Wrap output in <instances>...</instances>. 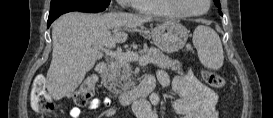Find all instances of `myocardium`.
Returning <instances> with one entry per match:
<instances>
[{"mask_svg": "<svg viewBox=\"0 0 273 118\" xmlns=\"http://www.w3.org/2000/svg\"><path fill=\"white\" fill-rule=\"evenodd\" d=\"M171 4V6L179 12L181 15L186 17H197L201 16L205 13H207L210 9L211 1L210 0H204L206 3V8L203 11H189L185 8L184 4L182 3V0H168Z\"/></svg>", "mask_w": 273, "mask_h": 118, "instance_id": "1", "label": "myocardium"}]
</instances>
